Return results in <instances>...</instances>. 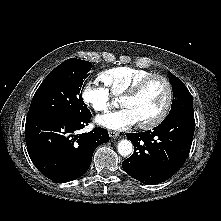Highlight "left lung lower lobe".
Masks as SVG:
<instances>
[{"label": "left lung lower lobe", "mask_w": 221, "mask_h": 221, "mask_svg": "<svg viewBox=\"0 0 221 221\" xmlns=\"http://www.w3.org/2000/svg\"><path fill=\"white\" fill-rule=\"evenodd\" d=\"M194 130V117H172L152 131L127 133L134 153L123 161L124 171L148 184L166 180L185 162Z\"/></svg>", "instance_id": "0a47b994"}]
</instances>
